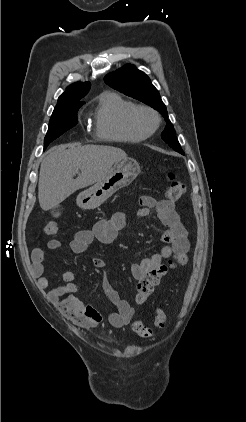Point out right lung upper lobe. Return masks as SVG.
Returning a JSON list of instances; mask_svg holds the SVG:
<instances>
[{"instance_id": "cb5924a9", "label": "right lung upper lobe", "mask_w": 246, "mask_h": 422, "mask_svg": "<svg viewBox=\"0 0 246 422\" xmlns=\"http://www.w3.org/2000/svg\"><path fill=\"white\" fill-rule=\"evenodd\" d=\"M90 89V82H76L67 87L66 91L58 98L56 107L84 104L81 101Z\"/></svg>"}]
</instances>
